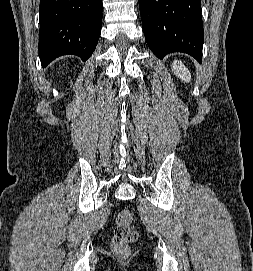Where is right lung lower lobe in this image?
<instances>
[{"instance_id": "98d812e1", "label": "right lung lower lobe", "mask_w": 253, "mask_h": 271, "mask_svg": "<svg viewBox=\"0 0 253 271\" xmlns=\"http://www.w3.org/2000/svg\"><path fill=\"white\" fill-rule=\"evenodd\" d=\"M39 19L43 67L66 54L86 61L101 34L102 0H40Z\"/></svg>"}]
</instances>
